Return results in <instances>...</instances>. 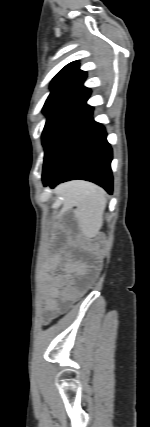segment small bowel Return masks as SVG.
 Returning <instances> with one entry per match:
<instances>
[{"label":"small bowel","mask_w":150,"mask_h":427,"mask_svg":"<svg viewBox=\"0 0 150 427\" xmlns=\"http://www.w3.org/2000/svg\"><path fill=\"white\" fill-rule=\"evenodd\" d=\"M67 277L64 275H56L49 270L45 273L44 277V320L49 321L56 315L63 312L70 301H72L78 294L80 288L86 285L82 282L79 285H70L66 289Z\"/></svg>","instance_id":"small-bowel-1"}]
</instances>
